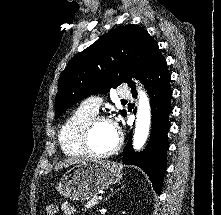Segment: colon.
Returning <instances> with one entry per match:
<instances>
[{
	"instance_id": "5ec220e1",
	"label": "colon",
	"mask_w": 221,
	"mask_h": 215,
	"mask_svg": "<svg viewBox=\"0 0 221 215\" xmlns=\"http://www.w3.org/2000/svg\"><path fill=\"white\" fill-rule=\"evenodd\" d=\"M45 214L46 215H55L56 214V207L53 204H48L45 206Z\"/></svg>"
}]
</instances>
